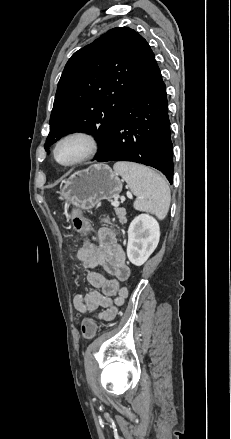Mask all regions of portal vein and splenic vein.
Returning <instances> with one entry per match:
<instances>
[{
	"instance_id": "portal-vein-and-splenic-vein-1",
	"label": "portal vein and splenic vein",
	"mask_w": 231,
	"mask_h": 439,
	"mask_svg": "<svg viewBox=\"0 0 231 439\" xmlns=\"http://www.w3.org/2000/svg\"><path fill=\"white\" fill-rule=\"evenodd\" d=\"M113 205H114L115 207H118V206H119V203H118V202H114Z\"/></svg>"
}]
</instances>
